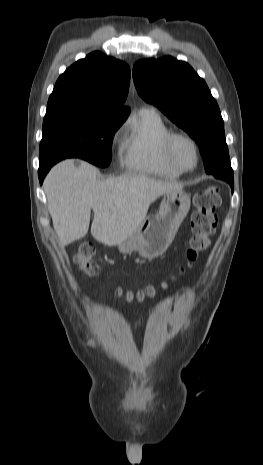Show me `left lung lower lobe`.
<instances>
[{
	"label": "left lung lower lobe",
	"mask_w": 263,
	"mask_h": 465,
	"mask_svg": "<svg viewBox=\"0 0 263 465\" xmlns=\"http://www.w3.org/2000/svg\"><path fill=\"white\" fill-rule=\"evenodd\" d=\"M203 160H204V163H205V170H206L207 173L212 172L213 168L216 167L219 164L216 159H212L210 157L203 158Z\"/></svg>",
	"instance_id": "left-lung-lower-lobe-1"
}]
</instances>
